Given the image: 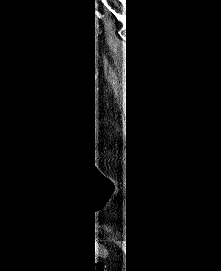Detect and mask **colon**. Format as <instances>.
<instances>
[{
    "label": "colon",
    "instance_id": "colon-1",
    "mask_svg": "<svg viewBox=\"0 0 221 271\" xmlns=\"http://www.w3.org/2000/svg\"><path fill=\"white\" fill-rule=\"evenodd\" d=\"M84 264L86 266H84ZM78 269L79 271H105L104 265L85 257H81L78 261Z\"/></svg>",
    "mask_w": 221,
    "mask_h": 271
}]
</instances>
